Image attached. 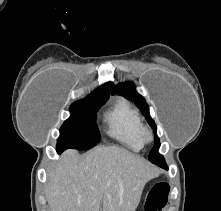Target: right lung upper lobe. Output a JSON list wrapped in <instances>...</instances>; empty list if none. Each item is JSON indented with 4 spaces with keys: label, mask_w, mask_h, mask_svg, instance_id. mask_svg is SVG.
Wrapping results in <instances>:
<instances>
[{
    "label": "right lung upper lobe",
    "mask_w": 221,
    "mask_h": 211,
    "mask_svg": "<svg viewBox=\"0 0 221 211\" xmlns=\"http://www.w3.org/2000/svg\"><path fill=\"white\" fill-rule=\"evenodd\" d=\"M113 91V83L108 82L104 85H102L97 90L93 91L87 98H97V97H104L109 96Z\"/></svg>",
    "instance_id": "right-lung-upper-lobe-1"
}]
</instances>
